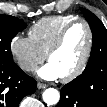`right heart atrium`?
Instances as JSON below:
<instances>
[{
  "mask_svg": "<svg viewBox=\"0 0 107 107\" xmlns=\"http://www.w3.org/2000/svg\"><path fill=\"white\" fill-rule=\"evenodd\" d=\"M10 51L19 67L25 72L34 71L46 55L34 44L30 37L15 35L10 41Z\"/></svg>",
  "mask_w": 107,
  "mask_h": 107,
  "instance_id": "1",
  "label": "right heart atrium"
}]
</instances>
